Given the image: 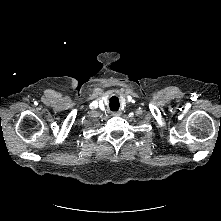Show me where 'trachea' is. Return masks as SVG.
Returning a JSON list of instances; mask_svg holds the SVG:
<instances>
[{
  "label": "trachea",
  "instance_id": "1",
  "mask_svg": "<svg viewBox=\"0 0 221 221\" xmlns=\"http://www.w3.org/2000/svg\"><path fill=\"white\" fill-rule=\"evenodd\" d=\"M109 107L111 111H118L120 107L119 99L116 96L110 98Z\"/></svg>",
  "mask_w": 221,
  "mask_h": 221
}]
</instances>
